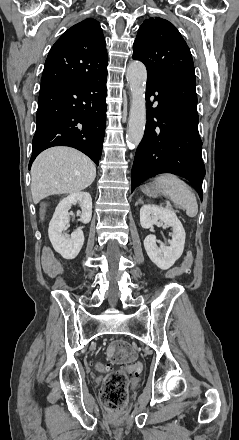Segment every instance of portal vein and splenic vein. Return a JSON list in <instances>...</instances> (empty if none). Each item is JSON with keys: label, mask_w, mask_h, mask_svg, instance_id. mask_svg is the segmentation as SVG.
Masks as SVG:
<instances>
[{"label": "portal vein and splenic vein", "mask_w": 239, "mask_h": 440, "mask_svg": "<svg viewBox=\"0 0 239 440\" xmlns=\"http://www.w3.org/2000/svg\"><path fill=\"white\" fill-rule=\"evenodd\" d=\"M165 201H166L165 208H168L173 205L172 203L170 204V201L168 199H166Z\"/></svg>", "instance_id": "18ae733b"}]
</instances>
